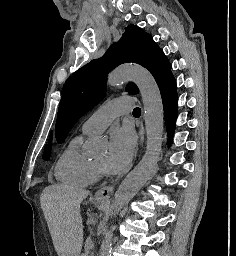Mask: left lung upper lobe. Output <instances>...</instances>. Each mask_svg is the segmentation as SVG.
Here are the masks:
<instances>
[{"mask_svg": "<svg viewBox=\"0 0 236 256\" xmlns=\"http://www.w3.org/2000/svg\"><path fill=\"white\" fill-rule=\"evenodd\" d=\"M134 62L148 69L156 82L170 72L171 65L152 37L135 25L125 28L121 39L105 55L76 71L66 82L56 121V140L62 143L81 116L95 107L105 96L108 73L120 64ZM126 90L137 94L129 83Z\"/></svg>", "mask_w": 236, "mask_h": 256, "instance_id": "left-lung-upper-lobe-1", "label": "left lung upper lobe"}]
</instances>
